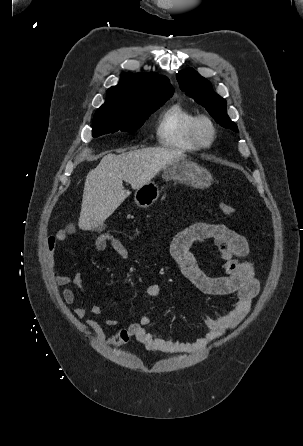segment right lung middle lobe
<instances>
[{
    "label": "right lung middle lobe",
    "mask_w": 303,
    "mask_h": 446,
    "mask_svg": "<svg viewBox=\"0 0 303 446\" xmlns=\"http://www.w3.org/2000/svg\"><path fill=\"white\" fill-rule=\"evenodd\" d=\"M163 104L155 105L144 111L98 109L93 118L92 136L98 137L118 130L134 132L144 124L145 119L151 113L159 109Z\"/></svg>",
    "instance_id": "1"
}]
</instances>
